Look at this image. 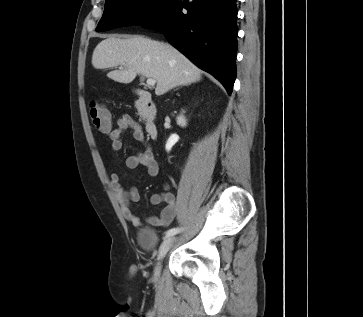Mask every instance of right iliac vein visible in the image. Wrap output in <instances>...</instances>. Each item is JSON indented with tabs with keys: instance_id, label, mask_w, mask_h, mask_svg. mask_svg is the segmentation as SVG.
Wrapping results in <instances>:
<instances>
[{
	"instance_id": "63e3f726",
	"label": "right iliac vein",
	"mask_w": 363,
	"mask_h": 317,
	"mask_svg": "<svg viewBox=\"0 0 363 317\" xmlns=\"http://www.w3.org/2000/svg\"><path fill=\"white\" fill-rule=\"evenodd\" d=\"M175 241H176L175 237L169 236V237L165 238L164 241L162 242V244L159 248L157 263L154 268V273H153L154 282H157L159 279L160 271H161L160 263H161L162 259L166 256V254L168 253L169 249L172 247V245L174 244Z\"/></svg>"
}]
</instances>
